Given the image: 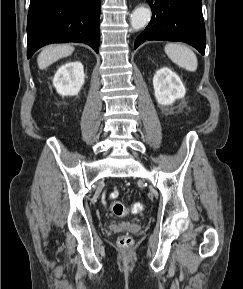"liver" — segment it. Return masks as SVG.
I'll return each instance as SVG.
<instances>
[{
    "mask_svg": "<svg viewBox=\"0 0 243 289\" xmlns=\"http://www.w3.org/2000/svg\"><path fill=\"white\" fill-rule=\"evenodd\" d=\"M74 47L68 44L62 45H49L45 47L38 55L37 63L39 69H46L57 60L71 55Z\"/></svg>",
    "mask_w": 243,
    "mask_h": 289,
    "instance_id": "1",
    "label": "liver"
}]
</instances>
